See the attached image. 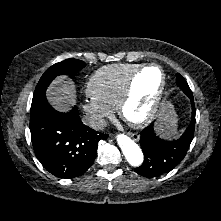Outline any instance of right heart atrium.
<instances>
[{"label":"right heart atrium","mask_w":221,"mask_h":221,"mask_svg":"<svg viewBox=\"0 0 221 221\" xmlns=\"http://www.w3.org/2000/svg\"><path fill=\"white\" fill-rule=\"evenodd\" d=\"M83 111L89 116L91 124L100 129L104 126L105 121L112 115V109L103 103L88 99L82 104Z\"/></svg>","instance_id":"d8ad5b80"}]
</instances>
